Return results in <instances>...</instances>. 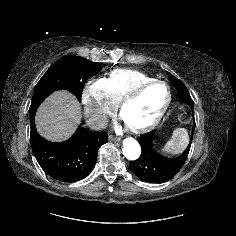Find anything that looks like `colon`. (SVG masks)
Listing matches in <instances>:
<instances>
[{"instance_id":"colon-1","label":"colon","mask_w":236,"mask_h":236,"mask_svg":"<svg viewBox=\"0 0 236 236\" xmlns=\"http://www.w3.org/2000/svg\"><path fill=\"white\" fill-rule=\"evenodd\" d=\"M179 111H180V120L183 123H189L191 120L190 114L187 112V110L184 108L183 105L179 106Z\"/></svg>"}]
</instances>
